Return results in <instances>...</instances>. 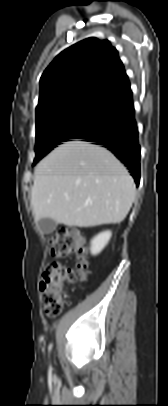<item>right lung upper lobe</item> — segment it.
<instances>
[{
  "instance_id": "1",
  "label": "right lung upper lobe",
  "mask_w": 168,
  "mask_h": 406,
  "mask_svg": "<svg viewBox=\"0 0 168 406\" xmlns=\"http://www.w3.org/2000/svg\"><path fill=\"white\" fill-rule=\"evenodd\" d=\"M128 89L117 50L108 40L87 38L61 52L42 74L36 121L77 102H107Z\"/></svg>"
}]
</instances>
